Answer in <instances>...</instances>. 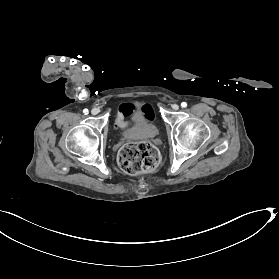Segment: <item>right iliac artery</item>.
<instances>
[{
  "label": "right iliac artery",
  "mask_w": 279,
  "mask_h": 279,
  "mask_svg": "<svg viewBox=\"0 0 279 279\" xmlns=\"http://www.w3.org/2000/svg\"><path fill=\"white\" fill-rule=\"evenodd\" d=\"M88 112H89L88 109L83 110V113H85V114H88Z\"/></svg>",
  "instance_id": "right-iliac-artery-1"
}]
</instances>
